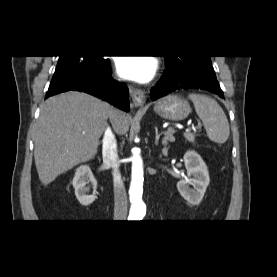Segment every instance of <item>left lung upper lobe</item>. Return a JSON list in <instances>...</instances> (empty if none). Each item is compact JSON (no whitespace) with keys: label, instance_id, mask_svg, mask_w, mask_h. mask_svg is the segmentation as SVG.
<instances>
[{"label":"left lung upper lobe","instance_id":"left-lung-upper-lobe-1","mask_svg":"<svg viewBox=\"0 0 277 277\" xmlns=\"http://www.w3.org/2000/svg\"><path fill=\"white\" fill-rule=\"evenodd\" d=\"M166 69L185 71L193 68H212L210 56H164Z\"/></svg>","mask_w":277,"mask_h":277}]
</instances>
